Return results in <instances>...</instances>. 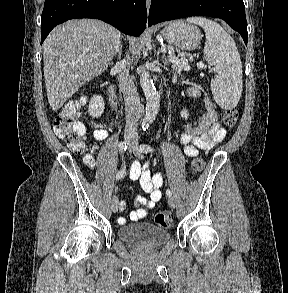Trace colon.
Listing matches in <instances>:
<instances>
[{"mask_svg": "<svg viewBox=\"0 0 288 293\" xmlns=\"http://www.w3.org/2000/svg\"><path fill=\"white\" fill-rule=\"evenodd\" d=\"M79 109V103L67 104L57 114L53 122L56 135L76 154H82L86 144V129L79 121ZM237 119L238 111L236 109L227 110L222 115V123L229 128L236 124ZM86 162L92 164V158L87 157ZM204 165L205 162L201 157L194 158L191 163L192 172L194 174L200 173ZM154 222L160 227L169 228L172 225V216L168 212H158L154 217Z\"/></svg>", "mask_w": 288, "mask_h": 293, "instance_id": "5ec220e1", "label": "colon"}]
</instances>
